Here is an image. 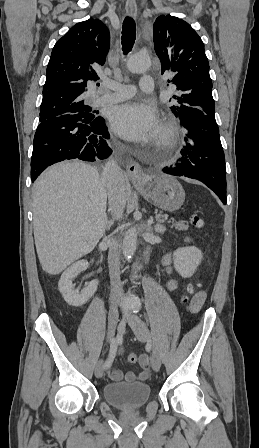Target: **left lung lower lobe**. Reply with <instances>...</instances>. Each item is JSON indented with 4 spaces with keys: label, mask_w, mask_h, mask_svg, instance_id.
<instances>
[{
    "label": "left lung lower lobe",
    "mask_w": 259,
    "mask_h": 448,
    "mask_svg": "<svg viewBox=\"0 0 259 448\" xmlns=\"http://www.w3.org/2000/svg\"><path fill=\"white\" fill-rule=\"evenodd\" d=\"M188 134L182 157L164 173L197 179L213 190L226 204V168L219 128L214 114L189 108L180 115Z\"/></svg>",
    "instance_id": "obj_1"
}]
</instances>
